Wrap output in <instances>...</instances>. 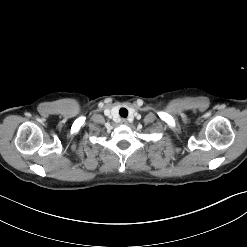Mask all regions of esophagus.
Wrapping results in <instances>:
<instances>
[{
	"label": "esophagus",
	"instance_id": "esophagus-1",
	"mask_svg": "<svg viewBox=\"0 0 247 247\" xmlns=\"http://www.w3.org/2000/svg\"><path fill=\"white\" fill-rule=\"evenodd\" d=\"M121 123L124 124V125H126L128 122H127L126 119H122V120H121Z\"/></svg>",
	"mask_w": 247,
	"mask_h": 247
}]
</instances>
